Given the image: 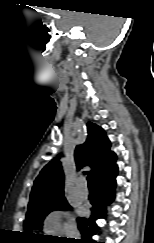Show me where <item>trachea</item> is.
I'll return each instance as SVG.
<instances>
[{"instance_id": "trachea-1", "label": "trachea", "mask_w": 154, "mask_h": 243, "mask_svg": "<svg viewBox=\"0 0 154 243\" xmlns=\"http://www.w3.org/2000/svg\"><path fill=\"white\" fill-rule=\"evenodd\" d=\"M87 181H88V187L89 188H92L93 187V184H92L91 176L90 175L87 176Z\"/></svg>"}]
</instances>
